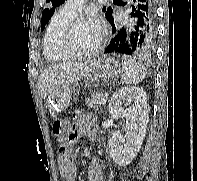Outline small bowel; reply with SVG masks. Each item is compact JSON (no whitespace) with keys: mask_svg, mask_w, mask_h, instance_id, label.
<instances>
[{"mask_svg":"<svg viewBox=\"0 0 197 181\" xmlns=\"http://www.w3.org/2000/svg\"><path fill=\"white\" fill-rule=\"evenodd\" d=\"M93 119L82 113L76 112L73 116V123L71 125L68 137L63 140L61 138V145L59 150L58 165L60 172L64 179L73 181L77 177L78 164L73 159V145L82 135L87 136L90 140H95ZM103 173L98 159L91 160L88 167V181H102Z\"/></svg>","mask_w":197,"mask_h":181,"instance_id":"obj_1","label":"small bowel"}]
</instances>
